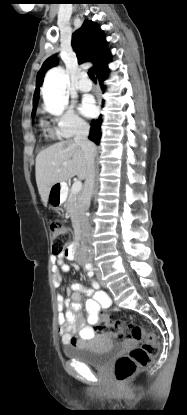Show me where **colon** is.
<instances>
[{
  "instance_id": "colon-1",
  "label": "colon",
  "mask_w": 187,
  "mask_h": 415,
  "mask_svg": "<svg viewBox=\"0 0 187 415\" xmlns=\"http://www.w3.org/2000/svg\"><path fill=\"white\" fill-rule=\"evenodd\" d=\"M52 237V253L54 255L67 254L74 243V234L62 222L54 221L50 225ZM102 334L126 336L142 344L134 347L127 355L119 357L114 365L117 381L126 382L140 368L146 366L160 351V345L152 331L135 322L126 323L114 315L105 314L94 327Z\"/></svg>"
}]
</instances>
